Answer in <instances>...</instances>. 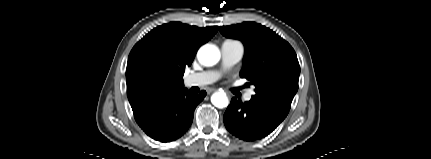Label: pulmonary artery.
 I'll return each mask as SVG.
<instances>
[{
  "mask_svg": "<svg viewBox=\"0 0 431 159\" xmlns=\"http://www.w3.org/2000/svg\"><path fill=\"white\" fill-rule=\"evenodd\" d=\"M244 56V46L236 40H225L221 45L222 69L227 70L236 65ZM221 73L219 71H203L191 74L185 79V84L191 86H204L217 81ZM250 90L244 95L245 101H250L253 95Z\"/></svg>",
  "mask_w": 431,
  "mask_h": 159,
  "instance_id": "1",
  "label": "pulmonary artery"
}]
</instances>
